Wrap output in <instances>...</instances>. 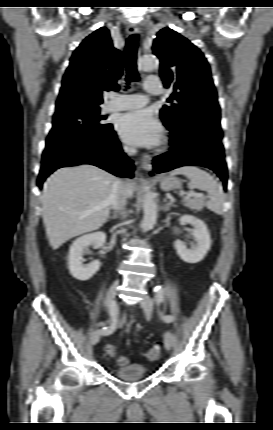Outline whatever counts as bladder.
I'll return each mask as SVG.
<instances>
[{"mask_svg": "<svg viewBox=\"0 0 273 430\" xmlns=\"http://www.w3.org/2000/svg\"><path fill=\"white\" fill-rule=\"evenodd\" d=\"M113 373L121 380L134 381L144 378L147 375V369L142 364L131 363L120 366Z\"/></svg>", "mask_w": 273, "mask_h": 430, "instance_id": "bladder-1", "label": "bladder"}]
</instances>
